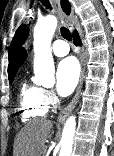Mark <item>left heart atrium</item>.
Returning <instances> with one entry per match:
<instances>
[{
	"label": "left heart atrium",
	"mask_w": 114,
	"mask_h": 156,
	"mask_svg": "<svg viewBox=\"0 0 114 156\" xmlns=\"http://www.w3.org/2000/svg\"><path fill=\"white\" fill-rule=\"evenodd\" d=\"M80 76V67L74 57L60 61L56 72V89L61 96L70 95L75 89Z\"/></svg>",
	"instance_id": "39dd6f15"
}]
</instances>
